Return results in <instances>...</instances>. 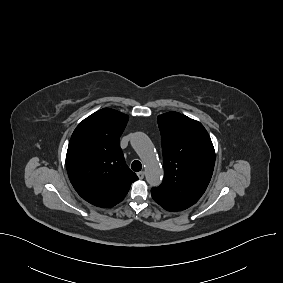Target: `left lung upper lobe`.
I'll use <instances>...</instances> for the list:
<instances>
[{"label":"left lung upper lobe","instance_id":"obj_1","mask_svg":"<svg viewBox=\"0 0 283 283\" xmlns=\"http://www.w3.org/2000/svg\"><path fill=\"white\" fill-rule=\"evenodd\" d=\"M157 120L165 175L162 184L151 192L182 211L205 192L214 169V147L208 132L196 120L177 112L159 115Z\"/></svg>","mask_w":283,"mask_h":283}]
</instances>
